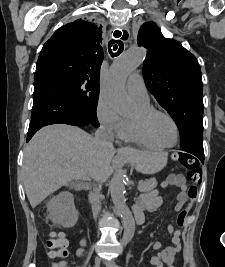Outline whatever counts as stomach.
I'll return each instance as SVG.
<instances>
[{
	"label": "stomach",
	"instance_id": "stomach-1",
	"mask_svg": "<svg viewBox=\"0 0 225 267\" xmlns=\"http://www.w3.org/2000/svg\"><path fill=\"white\" fill-rule=\"evenodd\" d=\"M167 162V155L164 153L148 154L144 160L146 173H156L160 171Z\"/></svg>",
	"mask_w": 225,
	"mask_h": 267
}]
</instances>
